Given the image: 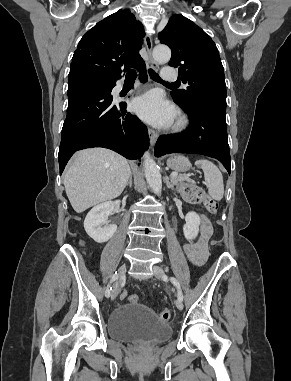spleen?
Masks as SVG:
<instances>
[{"label": "spleen", "instance_id": "3e777b00", "mask_svg": "<svg viewBox=\"0 0 291 381\" xmlns=\"http://www.w3.org/2000/svg\"><path fill=\"white\" fill-rule=\"evenodd\" d=\"M204 172V178L208 187V193L214 200L220 201L224 195L223 176L218 167L207 159L195 162Z\"/></svg>", "mask_w": 291, "mask_h": 381}]
</instances>
